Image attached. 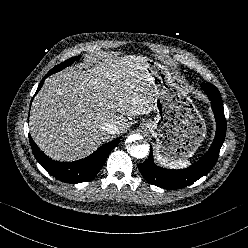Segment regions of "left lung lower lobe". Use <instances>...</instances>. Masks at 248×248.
Masks as SVG:
<instances>
[{"mask_svg":"<svg viewBox=\"0 0 248 248\" xmlns=\"http://www.w3.org/2000/svg\"><path fill=\"white\" fill-rule=\"evenodd\" d=\"M201 87L211 100L216 119V135L210 149L194 165L185 169L169 170L154 163L151 148L148 159L138 164L141 174L150 184L167 189H180L206 175L215 165L226 134L223 102L218 89L214 85L202 83Z\"/></svg>","mask_w":248,"mask_h":248,"instance_id":"obj_1","label":"left lung lower lobe"}]
</instances>
